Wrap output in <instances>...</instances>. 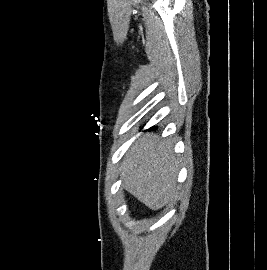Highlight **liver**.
I'll use <instances>...</instances> for the list:
<instances>
[{
    "label": "liver",
    "mask_w": 267,
    "mask_h": 270,
    "mask_svg": "<svg viewBox=\"0 0 267 270\" xmlns=\"http://www.w3.org/2000/svg\"><path fill=\"white\" fill-rule=\"evenodd\" d=\"M178 172L179 161L170 141L148 133L125 154L122 185L148 208L158 210L174 195Z\"/></svg>",
    "instance_id": "obj_1"
}]
</instances>
